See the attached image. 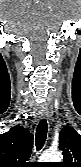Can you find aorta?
Here are the masks:
<instances>
[{
  "mask_svg": "<svg viewBox=\"0 0 81 167\" xmlns=\"http://www.w3.org/2000/svg\"><path fill=\"white\" fill-rule=\"evenodd\" d=\"M62 158L61 152L48 150L41 155L40 162H60Z\"/></svg>",
  "mask_w": 81,
  "mask_h": 167,
  "instance_id": "1",
  "label": "aorta"
}]
</instances>
